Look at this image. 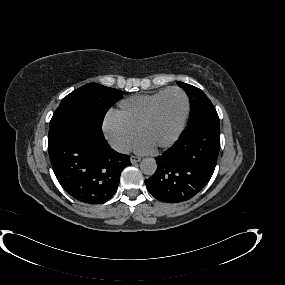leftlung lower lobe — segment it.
<instances>
[{
    "label": "left lung lower lobe",
    "mask_w": 285,
    "mask_h": 285,
    "mask_svg": "<svg viewBox=\"0 0 285 285\" xmlns=\"http://www.w3.org/2000/svg\"><path fill=\"white\" fill-rule=\"evenodd\" d=\"M220 150L218 114L210 111L191 121L179 140L155 158L157 170L145 180L156 199L178 203L195 196L209 182Z\"/></svg>",
    "instance_id": "1"
}]
</instances>
